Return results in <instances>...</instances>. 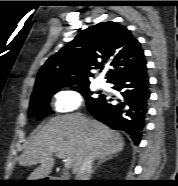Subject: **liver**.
I'll list each match as a JSON object with an SVG mask.
<instances>
[{"label": "liver", "instance_id": "1", "mask_svg": "<svg viewBox=\"0 0 178 186\" xmlns=\"http://www.w3.org/2000/svg\"><path fill=\"white\" fill-rule=\"evenodd\" d=\"M124 147V139L106 125L80 113L59 115L32 138L22 153L19 164H40L29 176L39 180L48 176L55 164L53 154L63 153L71 159L73 173L77 174L88 154L96 159L112 156Z\"/></svg>", "mask_w": 178, "mask_h": 186}]
</instances>
